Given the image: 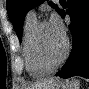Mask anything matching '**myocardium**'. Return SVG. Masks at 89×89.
<instances>
[{
	"label": "myocardium",
	"instance_id": "myocardium-1",
	"mask_svg": "<svg viewBox=\"0 0 89 89\" xmlns=\"http://www.w3.org/2000/svg\"><path fill=\"white\" fill-rule=\"evenodd\" d=\"M47 23H49L47 20H42L38 22L36 29L34 31V34H33V38H32V50H33L34 58L36 62L38 63V65L41 68H44L45 70L51 72L55 70L57 67H59L66 59L68 55V51H69V42H68V39L64 36V49H63L61 56L56 62L48 63L44 59L42 52H41V48H40L41 32H42L43 26Z\"/></svg>",
	"mask_w": 89,
	"mask_h": 89
}]
</instances>
